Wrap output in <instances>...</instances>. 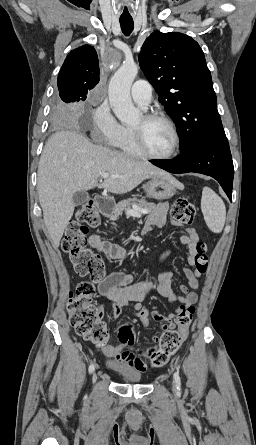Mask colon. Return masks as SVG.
I'll use <instances>...</instances> for the list:
<instances>
[{
    "mask_svg": "<svg viewBox=\"0 0 256 445\" xmlns=\"http://www.w3.org/2000/svg\"><path fill=\"white\" fill-rule=\"evenodd\" d=\"M171 217L176 225L193 224L196 217L194 204L188 197L179 198L172 206ZM98 225L96 205L92 200L87 201L80 208L77 219L70 223L62 241V249L68 254L76 273L88 276L93 281L102 280L105 276V260L87 247L88 231ZM205 249L204 243L197 244L194 264L202 273L208 266ZM94 296L95 290L90 282H81L76 286L67 303L70 323L79 336L96 344H105L109 340V333L102 320L103 309L94 302ZM194 312L193 306L182 309L175 319L178 329H169L162 334L158 348L153 349L150 354L152 366H164L179 349ZM118 335L122 343L132 344L135 341V333L130 325L121 327Z\"/></svg>",
    "mask_w": 256,
    "mask_h": 445,
    "instance_id": "obj_1",
    "label": "colon"
}]
</instances>
